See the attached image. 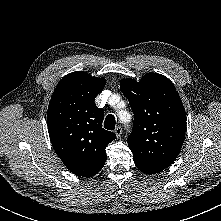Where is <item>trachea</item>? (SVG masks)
I'll return each instance as SVG.
<instances>
[{
    "label": "trachea",
    "mask_w": 221,
    "mask_h": 221,
    "mask_svg": "<svg viewBox=\"0 0 221 221\" xmlns=\"http://www.w3.org/2000/svg\"><path fill=\"white\" fill-rule=\"evenodd\" d=\"M116 125L115 117L112 114H109L104 122V128L107 130H114Z\"/></svg>",
    "instance_id": "trachea-1"
}]
</instances>
